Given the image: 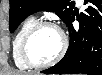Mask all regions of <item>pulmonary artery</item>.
I'll return each mask as SVG.
<instances>
[{
	"label": "pulmonary artery",
	"instance_id": "obj_1",
	"mask_svg": "<svg viewBox=\"0 0 102 75\" xmlns=\"http://www.w3.org/2000/svg\"><path fill=\"white\" fill-rule=\"evenodd\" d=\"M76 2H77L78 4H80V3H81V0H77Z\"/></svg>",
	"mask_w": 102,
	"mask_h": 75
}]
</instances>
